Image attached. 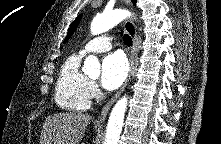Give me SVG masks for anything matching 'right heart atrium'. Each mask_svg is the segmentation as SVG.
<instances>
[{"mask_svg":"<svg viewBox=\"0 0 221 144\" xmlns=\"http://www.w3.org/2000/svg\"><path fill=\"white\" fill-rule=\"evenodd\" d=\"M87 91L90 98H97L99 96V87L93 80H89Z\"/></svg>","mask_w":221,"mask_h":144,"instance_id":"obj_1","label":"right heart atrium"}]
</instances>
